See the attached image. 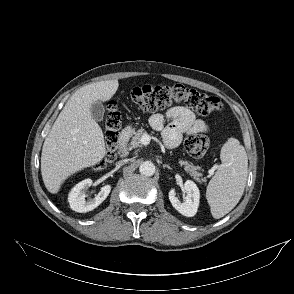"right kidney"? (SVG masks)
<instances>
[{
	"label": "right kidney",
	"instance_id": "1",
	"mask_svg": "<svg viewBox=\"0 0 294 294\" xmlns=\"http://www.w3.org/2000/svg\"><path fill=\"white\" fill-rule=\"evenodd\" d=\"M92 185L91 179H85L76 184L68 195V201L72 210L85 213L97 208L109 195L110 185H105L93 199L86 200V190Z\"/></svg>",
	"mask_w": 294,
	"mask_h": 294
}]
</instances>
